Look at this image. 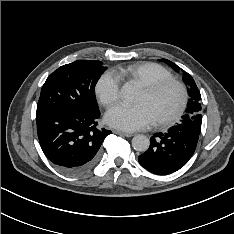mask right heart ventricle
I'll use <instances>...</instances> for the list:
<instances>
[{
	"label": "right heart ventricle",
	"mask_w": 234,
	"mask_h": 234,
	"mask_svg": "<svg viewBox=\"0 0 234 234\" xmlns=\"http://www.w3.org/2000/svg\"><path fill=\"white\" fill-rule=\"evenodd\" d=\"M118 78L127 77L139 83L142 87L152 83L174 79L173 74L163 66L156 63H139L127 67H119L115 70Z\"/></svg>",
	"instance_id": "e07e8e85"
}]
</instances>
